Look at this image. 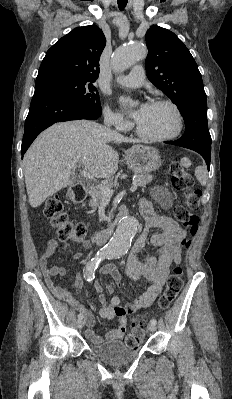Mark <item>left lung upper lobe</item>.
I'll list each match as a JSON object with an SVG mask.
<instances>
[{
	"instance_id": "5c2ea615",
	"label": "left lung upper lobe",
	"mask_w": 232,
	"mask_h": 399,
	"mask_svg": "<svg viewBox=\"0 0 232 399\" xmlns=\"http://www.w3.org/2000/svg\"><path fill=\"white\" fill-rule=\"evenodd\" d=\"M148 79L179 108L186 129L178 143L211 150L207 97L191 53L173 32L153 25L146 32Z\"/></svg>"
}]
</instances>
